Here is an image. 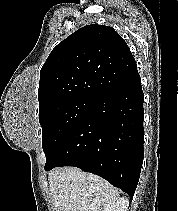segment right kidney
<instances>
[{
  "instance_id": "1",
  "label": "right kidney",
  "mask_w": 178,
  "mask_h": 211,
  "mask_svg": "<svg viewBox=\"0 0 178 211\" xmlns=\"http://www.w3.org/2000/svg\"><path fill=\"white\" fill-rule=\"evenodd\" d=\"M129 200L125 197L117 198L111 204H108L103 211H127Z\"/></svg>"
}]
</instances>
